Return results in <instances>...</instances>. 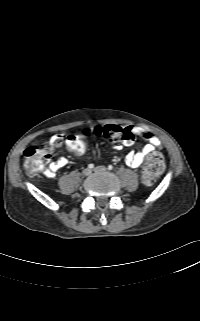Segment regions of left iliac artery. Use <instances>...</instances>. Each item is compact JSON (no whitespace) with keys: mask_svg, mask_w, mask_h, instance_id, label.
Here are the masks:
<instances>
[{"mask_svg":"<svg viewBox=\"0 0 200 321\" xmlns=\"http://www.w3.org/2000/svg\"><path fill=\"white\" fill-rule=\"evenodd\" d=\"M108 169H109V170H112V169H113V166H112V165H109V166H108Z\"/></svg>","mask_w":200,"mask_h":321,"instance_id":"1","label":"left iliac artery"}]
</instances>
